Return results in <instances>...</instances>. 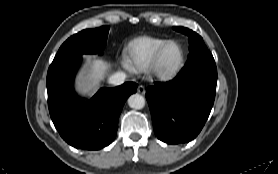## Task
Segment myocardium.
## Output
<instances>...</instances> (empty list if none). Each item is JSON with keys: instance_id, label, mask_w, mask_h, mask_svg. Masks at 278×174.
I'll list each match as a JSON object with an SVG mask.
<instances>
[{"instance_id": "f54148a6", "label": "myocardium", "mask_w": 278, "mask_h": 174, "mask_svg": "<svg viewBox=\"0 0 278 174\" xmlns=\"http://www.w3.org/2000/svg\"><path fill=\"white\" fill-rule=\"evenodd\" d=\"M169 45H177L180 50V59L178 63L170 70H163L160 67V57L163 53V51L168 47ZM185 62V52L184 48L181 45L180 42L176 40H167L165 43H163L154 53L150 65L148 67L149 73L157 80L160 81H168L173 79L182 69Z\"/></svg>"}]
</instances>
